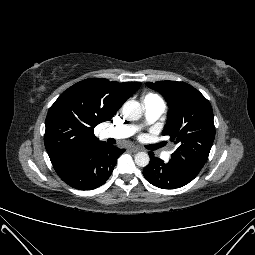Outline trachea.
Returning a JSON list of instances; mask_svg holds the SVG:
<instances>
[{
	"label": "trachea",
	"instance_id": "trachea-1",
	"mask_svg": "<svg viewBox=\"0 0 255 255\" xmlns=\"http://www.w3.org/2000/svg\"><path fill=\"white\" fill-rule=\"evenodd\" d=\"M161 146H163V145H161V144H160V145H158V148H159V147H161Z\"/></svg>",
	"mask_w": 255,
	"mask_h": 255
}]
</instances>
